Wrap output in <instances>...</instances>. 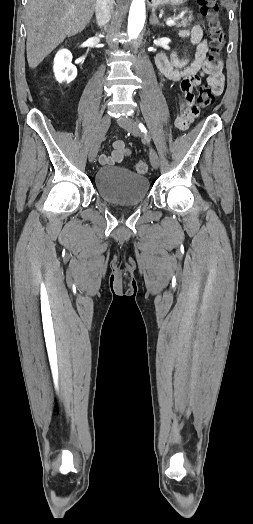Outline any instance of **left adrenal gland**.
I'll return each instance as SVG.
<instances>
[{
    "label": "left adrenal gland",
    "instance_id": "left-adrenal-gland-1",
    "mask_svg": "<svg viewBox=\"0 0 253 524\" xmlns=\"http://www.w3.org/2000/svg\"><path fill=\"white\" fill-rule=\"evenodd\" d=\"M150 24H151V25H159V26H162V27L164 26L163 23H160V22H159V20H158V18H157V16H156L154 10L152 11V15H151V17H150Z\"/></svg>",
    "mask_w": 253,
    "mask_h": 524
}]
</instances>
